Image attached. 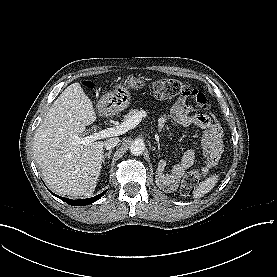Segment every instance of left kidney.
<instances>
[{"label": "left kidney", "mask_w": 277, "mask_h": 277, "mask_svg": "<svg viewBox=\"0 0 277 277\" xmlns=\"http://www.w3.org/2000/svg\"><path fill=\"white\" fill-rule=\"evenodd\" d=\"M165 166L166 162L161 160L156 171V183H158L165 190H173L177 184V176L174 174H164Z\"/></svg>", "instance_id": "1"}]
</instances>
